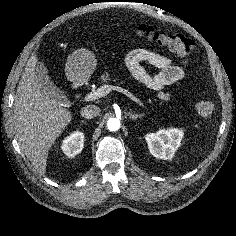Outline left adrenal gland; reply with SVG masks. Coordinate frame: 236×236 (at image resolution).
<instances>
[{
  "label": "left adrenal gland",
  "instance_id": "obj_1",
  "mask_svg": "<svg viewBox=\"0 0 236 236\" xmlns=\"http://www.w3.org/2000/svg\"><path fill=\"white\" fill-rule=\"evenodd\" d=\"M127 115L129 118L136 120L137 118H141L144 116V114H133L132 112H128Z\"/></svg>",
  "mask_w": 236,
  "mask_h": 236
}]
</instances>
